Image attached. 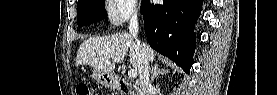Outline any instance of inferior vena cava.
Returning <instances> with one entry per match:
<instances>
[{"mask_svg":"<svg viewBox=\"0 0 277 95\" xmlns=\"http://www.w3.org/2000/svg\"><path fill=\"white\" fill-rule=\"evenodd\" d=\"M129 33L134 39L136 55H137V70L139 74V86L141 90V95H150L152 86L149 79V59L146 53L144 45L137 38L138 34V17L137 10H134L129 21Z\"/></svg>","mask_w":277,"mask_h":95,"instance_id":"obj_1","label":"inferior vena cava"}]
</instances>
